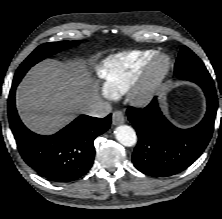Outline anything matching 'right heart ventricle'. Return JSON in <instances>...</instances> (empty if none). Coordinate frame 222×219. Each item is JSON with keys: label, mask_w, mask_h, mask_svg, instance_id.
<instances>
[{"label": "right heart ventricle", "mask_w": 222, "mask_h": 219, "mask_svg": "<svg viewBox=\"0 0 222 219\" xmlns=\"http://www.w3.org/2000/svg\"><path fill=\"white\" fill-rule=\"evenodd\" d=\"M157 54L156 50H130L102 60L96 66V74L104 94L116 97L126 91Z\"/></svg>", "instance_id": "right-heart-ventricle-1"}]
</instances>
